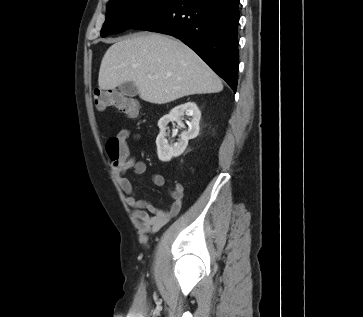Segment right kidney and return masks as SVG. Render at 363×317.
<instances>
[{
    "label": "right kidney",
    "mask_w": 363,
    "mask_h": 317,
    "mask_svg": "<svg viewBox=\"0 0 363 317\" xmlns=\"http://www.w3.org/2000/svg\"><path fill=\"white\" fill-rule=\"evenodd\" d=\"M190 116L192 117L191 122L188 123V130L182 132L178 142L169 145L166 139V127L169 122L176 121L179 126L184 127L182 122V117ZM201 118V112L194 102H187L173 108L169 114L163 116L159 122L158 126L160 128V133L156 139L157 154L159 160L163 162L170 161L173 157H178L181 155L188 145L190 139H194L199 134V122Z\"/></svg>",
    "instance_id": "obj_1"
}]
</instances>
